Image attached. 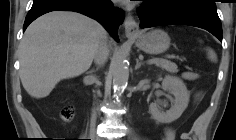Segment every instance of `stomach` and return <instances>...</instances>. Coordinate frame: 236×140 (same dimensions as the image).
I'll return each instance as SVG.
<instances>
[{"mask_svg":"<svg viewBox=\"0 0 236 140\" xmlns=\"http://www.w3.org/2000/svg\"><path fill=\"white\" fill-rule=\"evenodd\" d=\"M129 37L135 40L139 49L149 54L163 53L170 45L168 34L158 29L147 33L139 32L135 35H130Z\"/></svg>","mask_w":236,"mask_h":140,"instance_id":"0dacf381","label":"stomach"}]
</instances>
